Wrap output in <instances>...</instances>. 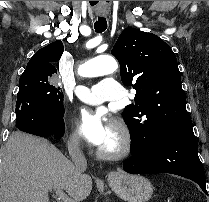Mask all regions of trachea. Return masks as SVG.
Wrapping results in <instances>:
<instances>
[{"label": "trachea", "mask_w": 209, "mask_h": 202, "mask_svg": "<svg viewBox=\"0 0 209 202\" xmlns=\"http://www.w3.org/2000/svg\"><path fill=\"white\" fill-rule=\"evenodd\" d=\"M94 29L97 33H102L107 29V21L104 17H98V20L94 24Z\"/></svg>", "instance_id": "obj_1"}]
</instances>
